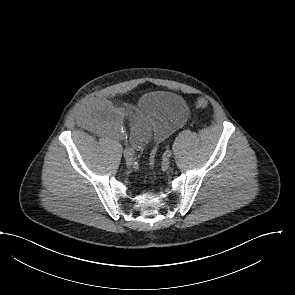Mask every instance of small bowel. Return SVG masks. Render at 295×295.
Masks as SVG:
<instances>
[{
  "label": "small bowel",
  "mask_w": 295,
  "mask_h": 295,
  "mask_svg": "<svg viewBox=\"0 0 295 295\" xmlns=\"http://www.w3.org/2000/svg\"><path fill=\"white\" fill-rule=\"evenodd\" d=\"M123 114V111L115 108L109 101L98 99L83 111L82 120L95 129L110 134L114 132V127ZM129 126L131 145L137 150L142 149L152 135L150 123L142 113L132 111L129 115Z\"/></svg>",
  "instance_id": "1"
}]
</instances>
